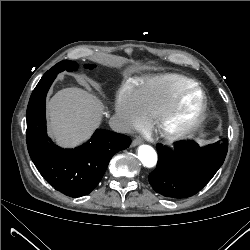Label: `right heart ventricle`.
<instances>
[{
  "instance_id": "obj_1",
  "label": "right heart ventricle",
  "mask_w": 250,
  "mask_h": 250,
  "mask_svg": "<svg viewBox=\"0 0 250 250\" xmlns=\"http://www.w3.org/2000/svg\"><path fill=\"white\" fill-rule=\"evenodd\" d=\"M191 84L194 80L185 75L166 73L145 78L134 89L150 122L181 89Z\"/></svg>"
}]
</instances>
